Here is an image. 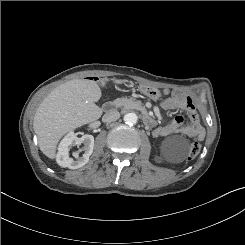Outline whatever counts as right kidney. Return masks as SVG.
I'll list each match as a JSON object with an SVG mask.
<instances>
[{"mask_svg": "<svg viewBox=\"0 0 245 245\" xmlns=\"http://www.w3.org/2000/svg\"><path fill=\"white\" fill-rule=\"evenodd\" d=\"M84 144L82 157L78 156V153L73 152L75 159L69 156V151L74 146ZM94 137L92 135H83L77 137L74 132H69L59 144L58 154L56 160L58 165L62 167H68L70 169H78L84 166L93 152Z\"/></svg>", "mask_w": 245, "mask_h": 245, "instance_id": "ca27d5eb", "label": "right kidney"}]
</instances>
